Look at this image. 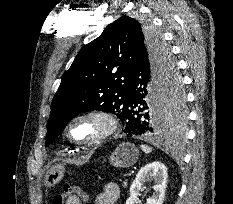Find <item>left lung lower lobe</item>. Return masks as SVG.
<instances>
[{"label": "left lung lower lobe", "instance_id": "obj_1", "mask_svg": "<svg viewBox=\"0 0 233 204\" xmlns=\"http://www.w3.org/2000/svg\"><path fill=\"white\" fill-rule=\"evenodd\" d=\"M147 55L145 49L141 48L131 67L129 97L123 107L124 132L136 136L168 134L177 130L182 132L184 120L178 127H169L162 130L167 87L157 71L152 67ZM179 78L181 79L176 66L172 73L170 86L174 85ZM152 104L160 105L162 107L161 111L155 112ZM184 105L185 102L183 108Z\"/></svg>", "mask_w": 233, "mask_h": 204}]
</instances>
